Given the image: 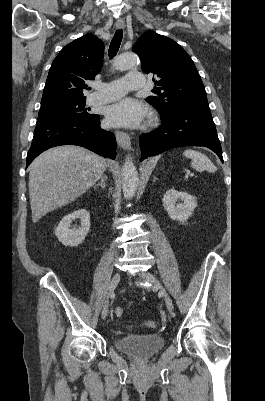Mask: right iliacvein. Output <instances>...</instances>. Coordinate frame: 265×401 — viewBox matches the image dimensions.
<instances>
[{
	"instance_id": "right-iliac-vein-1",
	"label": "right iliac vein",
	"mask_w": 265,
	"mask_h": 401,
	"mask_svg": "<svg viewBox=\"0 0 265 401\" xmlns=\"http://www.w3.org/2000/svg\"><path fill=\"white\" fill-rule=\"evenodd\" d=\"M120 279H121V275L119 273H117L113 276V278L111 280L109 293H108L107 299L103 305L102 312H101L102 319H105L107 317L108 307H109V298L111 297L113 291L117 287Z\"/></svg>"
}]
</instances>
